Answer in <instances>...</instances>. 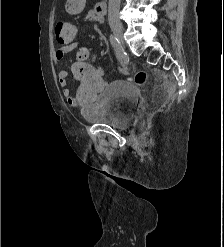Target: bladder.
I'll return each mask as SVG.
<instances>
[{
	"label": "bladder",
	"instance_id": "obj_1",
	"mask_svg": "<svg viewBox=\"0 0 224 247\" xmlns=\"http://www.w3.org/2000/svg\"><path fill=\"white\" fill-rule=\"evenodd\" d=\"M137 105L138 93L135 86L128 80L118 79L96 93L79 112L89 123L123 130L133 124Z\"/></svg>",
	"mask_w": 224,
	"mask_h": 247
}]
</instances>
